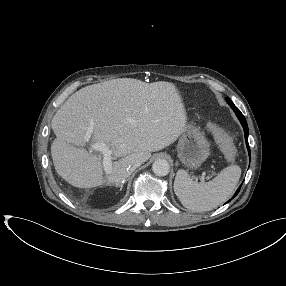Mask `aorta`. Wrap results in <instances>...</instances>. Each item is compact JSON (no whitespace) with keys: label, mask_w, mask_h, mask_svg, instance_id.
Returning a JSON list of instances; mask_svg holds the SVG:
<instances>
[{"label":"aorta","mask_w":286,"mask_h":286,"mask_svg":"<svg viewBox=\"0 0 286 286\" xmlns=\"http://www.w3.org/2000/svg\"><path fill=\"white\" fill-rule=\"evenodd\" d=\"M152 170L157 176H166L170 172V165L165 159H157L152 164Z\"/></svg>","instance_id":"1"}]
</instances>
